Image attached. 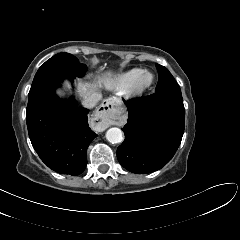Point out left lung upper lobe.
I'll return each instance as SVG.
<instances>
[{"mask_svg": "<svg viewBox=\"0 0 240 240\" xmlns=\"http://www.w3.org/2000/svg\"><path fill=\"white\" fill-rule=\"evenodd\" d=\"M159 75V81L155 92L160 91H181L177 82L167 68L159 64L156 65Z\"/></svg>", "mask_w": 240, "mask_h": 240, "instance_id": "obj_1", "label": "left lung upper lobe"}]
</instances>
